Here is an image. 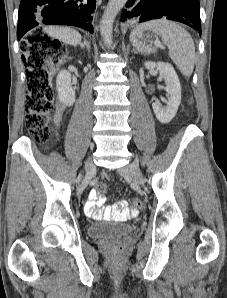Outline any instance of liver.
Masks as SVG:
<instances>
[{
    "label": "liver",
    "instance_id": "1",
    "mask_svg": "<svg viewBox=\"0 0 227 298\" xmlns=\"http://www.w3.org/2000/svg\"><path fill=\"white\" fill-rule=\"evenodd\" d=\"M45 31L53 38H56L70 45H78L81 42V35L74 29L67 27H46Z\"/></svg>",
    "mask_w": 227,
    "mask_h": 298
}]
</instances>
